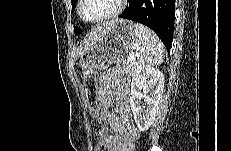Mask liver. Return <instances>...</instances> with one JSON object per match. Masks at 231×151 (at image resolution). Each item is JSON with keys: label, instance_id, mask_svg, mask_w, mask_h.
<instances>
[{"label": "liver", "instance_id": "6515ba94", "mask_svg": "<svg viewBox=\"0 0 231 151\" xmlns=\"http://www.w3.org/2000/svg\"><path fill=\"white\" fill-rule=\"evenodd\" d=\"M112 22L114 21L103 23L102 25L98 26L97 28L91 31L87 38H85L83 45L80 47L81 55L100 39L101 35L104 33L107 26L110 25Z\"/></svg>", "mask_w": 231, "mask_h": 151}]
</instances>
